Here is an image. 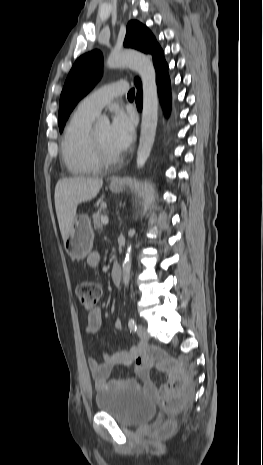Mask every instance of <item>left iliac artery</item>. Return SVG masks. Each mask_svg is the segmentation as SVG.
<instances>
[{"label":"left iliac artery","instance_id":"44dca946","mask_svg":"<svg viewBox=\"0 0 263 465\" xmlns=\"http://www.w3.org/2000/svg\"><path fill=\"white\" fill-rule=\"evenodd\" d=\"M128 327H129L130 331L135 332L137 330L136 321L133 318L129 319Z\"/></svg>","mask_w":263,"mask_h":465}]
</instances>
